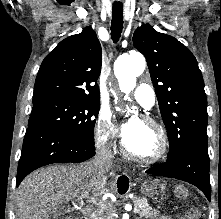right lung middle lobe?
Returning a JSON list of instances; mask_svg holds the SVG:
<instances>
[{
    "label": "right lung middle lobe",
    "mask_w": 221,
    "mask_h": 219,
    "mask_svg": "<svg viewBox=\"0 0 221 219\" xmlns=\"http://www.w3.org/2000/svg\"><path fill=\"white\" fill-rule=\"evenodd\" d=\"M33 104L28 126L43 125L94 144L100 101L47 99Z\"/></svg>",
    "instance_id": "right-lung-middle-lobe-1"
}]
</instances>
